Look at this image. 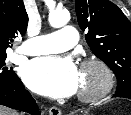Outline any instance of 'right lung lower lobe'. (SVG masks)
<instances>
[{
    "mask_svg": "<svg viewBox=\"0 0 131 115\" xmlns=\"http://www.w3.org/2000/svg\"><path fill=\"white\" fill-rule=\"evenodd\" d=\"M0 105L40 115L36 101L18 77L10 83H0Z\"/></svg>",
    "mask_w": 131,
    "mask_h": 115,
    "instance_id": "98d812e1",
    "label": "right lung lower lobe"
}]
</instances>
